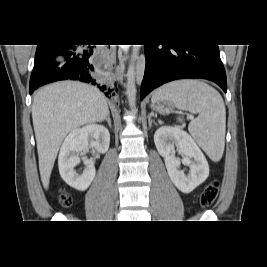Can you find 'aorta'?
I'll return each mask as SVG.
<instances>
[{"label":"aorta","mask_w":267,"mask_h":267,"mask_svg":"<svg viewBox=\"0 0 267 267\" xmlns=\"http://www.w3.org/2000/svg\"><path fill=\"white\" fill-rule=\"evenodd\" d=\"M141 45H133L131 63L127 73V95L129 99V105L132 110H136V86H135V62L138 59L139 49Z\"/></svg>","instance_id":"obj_1"}]
</instances>
